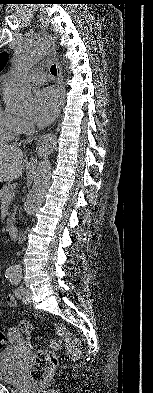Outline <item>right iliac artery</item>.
Returning <instances> with one entry per match:
<instances>
[{
    "mask_svg": "<svg viewBox=\"0 0 153 393\" xmlns=\"http://www.w3.org/2000/svg\"><path fill=\"white\" fill-rule=\"evenodd\" d=\"M9 273H11V272H6V274H5V275H7V274H9Z\"/></svg>",
    "mask_w": 153,
    "mask_h": 393,
    "instance_id": "right-iliac-artery-1",
    "label": "right iliac artery"
}]
</instances>
